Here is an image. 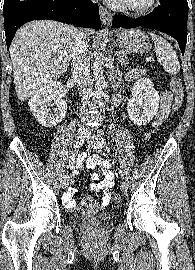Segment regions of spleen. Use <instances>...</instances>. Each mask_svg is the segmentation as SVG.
I'll use <instances>...</instances> for the list:
<instances>
[{
  "instance_id": "obj_1",
  "label": "spleen",
  "mask_w": 195,
  "mask_h": 270,
  "mask_svg": "<svg viewBox=\"0 0 195 270\" xmlns=\"http://www.w3.org/2000/svg\"><path fill=\"white\" fill-rule=\"evenodd\" d=\"M150 36L154 41L157 59L163 69L171 75H176L180 71V63L173 47L161 36L154 33H150Z\"/></svg>"
}]
</instances>
